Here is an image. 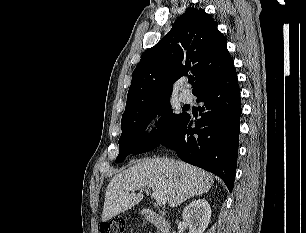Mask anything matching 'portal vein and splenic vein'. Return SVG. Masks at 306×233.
<instances>
[{"mask_svg": "<svg viewBox=\"0 0 306 233\" xmlns=\"http://www.w3.org/2000/svg\"><path fill=\"white\" fill-rule=\"evenodd\" d=\"M143 187H144L143 184L133 185V186L129 187V190L130 191L138 190V189H141ZM152 197L156 200L157 204H159V205H165L166 202H167L166 197L161 193L152 192Z\"/></svg>", "mask_w": 306, "mask_h": 233, "instance_id": "portal-vein-and-splenic-vein-1", "label": "portal vein and splenic vein"}]
</instances>
